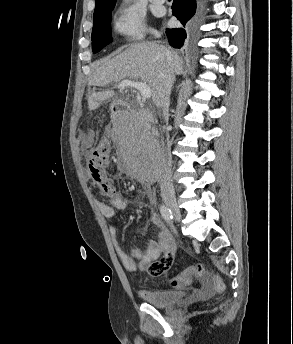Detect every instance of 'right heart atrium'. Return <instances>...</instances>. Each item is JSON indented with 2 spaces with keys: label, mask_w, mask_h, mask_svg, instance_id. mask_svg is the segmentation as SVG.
<instances>
[{
  "label": "right heart atrium",
  "mask_w": 293,
  "mask_h": 344,
  "mask_svg": "<svg viewBox=\"0 0 293 344\" xmlns=\"http://www.w3.org/2000/svg\"><path fill=\"white\" fill-rule=\"evenodd\" d=\"M112 30L128 44H140L151 32L144 15L133 6L117 9L111 21Z\"/></svg>",
  "instance_id": "right-heart-atrium-1"
}]
</instances>
